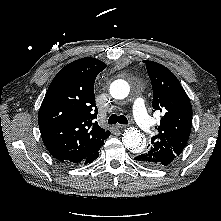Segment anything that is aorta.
I'll list each match as a JSON object with an SVG mask.
<instances>
[{
  "instance_id": "obj_1",
  "label": "aorta",
  "mask_w": 221,
  "mask_h": 221,
  "mask_svg": "<svg viewBox=\"0 0 221 221\" xmlns=\"http://www.w3.org/2000/svg\"><path fill=\"white\" fill-rule=\"evenodd\" d=\"M130 91L129 84L124 80H116L110 86V94L115 99H124ZM124 146L134 153L141 152L146 145L143 135L137 129L130 127L125 130L122 137Z\"/></svg>"
}]
</instances>
